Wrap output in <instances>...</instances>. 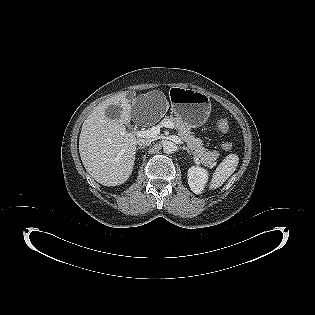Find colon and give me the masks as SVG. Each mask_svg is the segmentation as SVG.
<instances>
[{"instance_id":"colon-1","label":"colon","mask_w":315,"mask_h":315,"mask_svg":"<svg viewBox=\"0 0 315 315\" xmlns=\"http://www.w3.org/2000/svg\"><path fill=\"white\" fill-rule=\"evenodd\" d=\"M216 127H217V129H218L220 132L225 133V132H227V131L229 130V123H228V121H227L226 119H219V120L217 121V123H216ZM223 148H224L225 150H230V149H232V143H230V142H225V143L223 144Z\"/></svg>"}]
</instances>
